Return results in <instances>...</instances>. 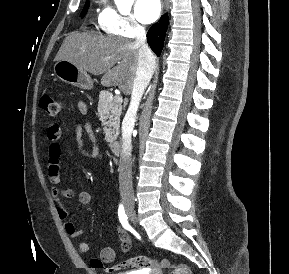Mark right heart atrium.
<instances>
[{
    "mask_svg": "<svg viewBox=\"0 0 289 274\" xmlns=\"http://www.w3.org/2000/svg\"><path fill=\"white\" fill-rule=\"evenodd\" d=\"M100 27L112 34L133 38L143 31V27L131 14H123L112 6H106L102 12Z\"/></svg>",
    "mask_w": 289,
    "mask_h": 274,
    "instance_id": "1",
    "label": "right heart atrium"
}]
</instances>
